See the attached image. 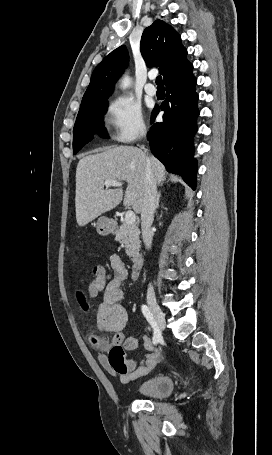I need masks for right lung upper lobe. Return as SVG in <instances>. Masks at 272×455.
Listing matches in <instances>:
<instances>
[{"label": "right lung upper lobe", "mask_w": 272, "mask_h": 455, "mask_svg": "<svg viewBox=\"0 0 272 455\" xmlns=\"http://www.w3.org/2000/svg\"><path fill=\"white\" fill-rule=\"evenodd\" d=\"M140 50L147 67H160L165 85L185 76L193 69V65L186 58L187 50L181 43L180 35L162 20H156L144 30ZM128 58L125 46H120L97 65L79 112L107 102L114 84L127 66Z\"/></svg>", "instance_id": "right-lung-upper-lobe-1"}]
</instances>
